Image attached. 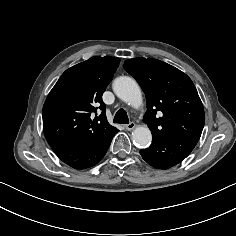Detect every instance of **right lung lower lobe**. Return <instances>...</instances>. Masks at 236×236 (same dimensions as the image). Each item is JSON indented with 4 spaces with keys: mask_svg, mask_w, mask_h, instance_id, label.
Returning <instances> with one entry per match:
<instances>
[{
    "mask_svg": "<svg viewBox=\"0 0 236 236\" xmlns=\"http://www.w3.org/2000/svg\"><path fill=\"white\" fill-rule=\"evenodd\" d=\"M118 131V129H115L93 143H60L50 146L55 154L67 165L75 169H85L94 166L104 157L113 136Z\"/></svg>",
    "mask_w": 236,
    "mask_h": 236,
    "instance_id": "98d812e1",
    "label": "right lung lower lobe"
}]
</instances>
